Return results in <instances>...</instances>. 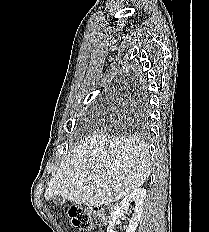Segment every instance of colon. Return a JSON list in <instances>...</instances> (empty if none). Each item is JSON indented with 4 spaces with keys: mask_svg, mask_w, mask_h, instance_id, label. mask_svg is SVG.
<instances>
[{
    "mask_svg": "<svg viewBox=\"0 0 209 232\" xmlns=\"http://www.w3.org/2000/svg\"><path fill=\"white\" fill-rule=\"evenodd\" d=\"M68 215L72 225L82 231H89L93 223L101 224L104 221V213L100 207H73Z\"/></svg>",
    "mask_w": 209,
    "mask_h": 232,
    "instance_id": "5ec220e1",
    "label": "colon"
}]
</instances>
